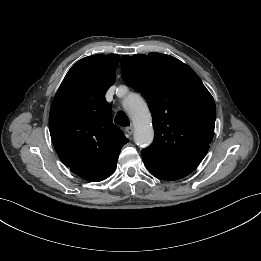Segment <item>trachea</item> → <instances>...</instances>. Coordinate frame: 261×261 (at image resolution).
<instances>
[{
    "instance_id": "1",
    "label": "trachea",
    "mask_w": 261,
    "mask_h": 261,
    "mask_svg": "<svg viewBox=\"0 0 261 261\" xmlns=\"http://www.w3.org/2000/svg\"><path fill=\"white\" fill-rule=\"evenodd\" d=\"M115 123L120 126H129V119L124 111H119L114 119Z\"/></svg>"
}]
</instances>
